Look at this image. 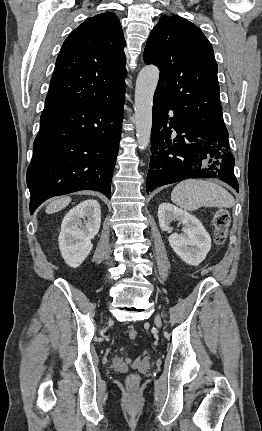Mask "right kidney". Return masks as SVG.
I'll list each match as a JSON object with an SVG mask.
<instances>
[{"mask_svg":"<svg viewBox=\"0 0 262 431\" xmlns=\"http://www.w3.org/2000/svg\"><path fill=\"white\" fill-rule=\"evenodd\" d=\"M100 223L101 209L94 199L81 202L65 215L59 234V248L68 266H80L89 255L93 248L91 239L98 233Z\"/></svg>","mask_w":262,"mask_h":431,"instance_id":"obj_1","label":"right kidney"}]
</instances>
